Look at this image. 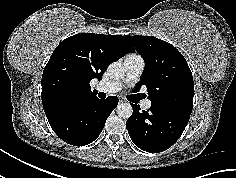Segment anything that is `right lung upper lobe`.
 <instances>
[{"label":"right lung upper lobe","instance_id":"right-lung-upper-lobe-1","mask_svg":"<svg viewBox=\"0 0 236 178\" xmlns=\"http://www.w3.org/2000/svg\"><path fill=\"white\" fill-rule=\"evenodd\" d=\"M134 52L127 36L82 33L64 39L52 53L42 75L46 116L79 106L96 97L89 85L102 79L107 66Z\"/></svg>","mask_w":236,"mask_h":178}]
</instances>
